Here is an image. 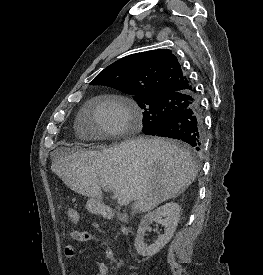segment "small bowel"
I'll return each mask as SVG.
<instances>
[{
  "instance_id": "small-bowel-1",
  "label": "small bowel",
  "mask_w": 263,
  "mask_h": 275,
  "mask_svg": "<svg viewBox=\"0 0 263 275\" xmlns=\"http://www.w3.org/2000/svg\"><path fill=\"white\" fill-rule=\"evenodd\" d=\"M70 238L77 242H92L100 243V240L88 231L73 230L70 233ZM64 256L67 259H72L75 256V248L73 244H67L63 250ZM104 256L111 259L114 256L113 249L109 246L104 248ZM109 269L105 263H98V272L94 275H108Z\"/></svg>"
}]
</instances>
